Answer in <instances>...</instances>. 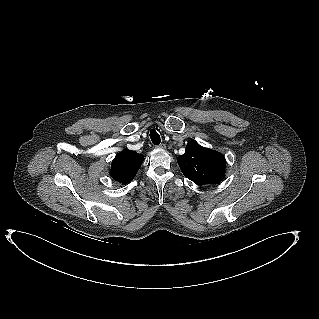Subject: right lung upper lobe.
I'll return each mask as SVG.
<instances>
[{
	"mask_svg": "<svg viewBox=\"0 0 319 319\" xmlns=\"http://www.w3.org/2000/svg\"><path fill=\"white\" fill-rule=\"evenodd\" d=\"M143 162V156L135 151L123 150L112 161L110 175L119 183L130 182Z\"/></svg>",
	"mask_w": 319,
	"mask_h": 319,
	"instance_id": "right-lung-upper-lobe-1",
	"label": "right lung upper lobe"
}]
</instances>
